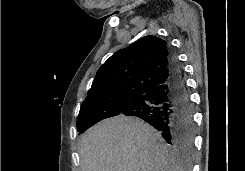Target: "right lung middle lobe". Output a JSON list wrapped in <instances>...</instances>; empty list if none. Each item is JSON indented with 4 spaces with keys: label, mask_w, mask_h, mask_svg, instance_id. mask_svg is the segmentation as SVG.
Masks as SVG:
<instances>
[{
    "label": "right lung middle lobe",
    "mask_w": 245,
    "mask_h": 171,
    "mask_svg": "<svg viewBox=\"0 0 245 171\" xmlns=\"http://www.w3.org/2000/svg\"><path fill=\"white\" fill-rule=\"evenodd\" d=\"M135 95H118L110 98L83 102L77 117V131L85 132L97 122L120 114L129 102H132Z\"/></svg>",
    "instance_id": "1"
}]
</instances>
